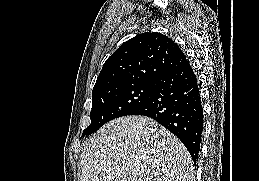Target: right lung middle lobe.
Masks as SVG:
<instances>
[{
  "label": "right lung middle lobe",
  "mask_w": 259,
  "mask_h": 181,
  "mask_svg": "<svg viewBox=\"0 0 259 181\" xmlns=\"http://www.w3.org/2000/svg\"><path fill=\"white\" fill-rule=\"evenodd\" d=\"M154 87V83H138L92 94L91 124L82 136L94 133L110 120L130 115L149 99Z\"/></svg>",
  "instance_id": "1"
}]
</instances>
